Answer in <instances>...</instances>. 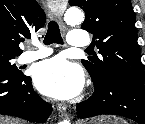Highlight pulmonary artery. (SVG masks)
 Segmentation results:
<instances>
[{
	"mask_svg": "<svg viewBox=\"0 0 145 124\" xmlns=\"http://www.w3.org/2000/svg\"><path fill=\"white\" fill-rule=\"evenodd\" d=\"M90 39L88 32L82 29H72L68 39L69 47L87 48ZM38 45V43H35ZM51 50L43 45H39L37 50H29L22 53L19 58L20 63H30L35 60L44 58L51 54Z\"/></svg>",
	"mask_w": 145,
	"mask_h": 124,
	"instance_id": "obj_1",
	"label": "pulmonary artery"
}]
</instances>
